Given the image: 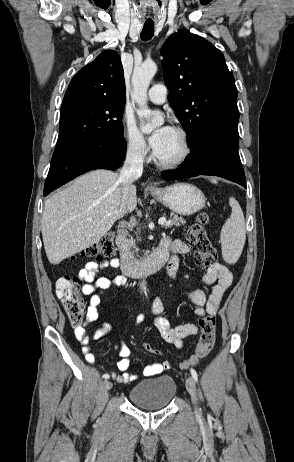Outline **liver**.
I'll return each mask as SVG.
<instances>
[{"label": "liver", "mask_w": 294, "mask_h": 462, "mask_svg": "<svg viewBox=\"0 0 294 462\" xmlns=\"http://www.w3.org/2000/svg\"><path fill=\"white\" fill-rule=\"evenodd\" d=\"M122 191L118 173L94 170L48 198L41 231L49 262L59 264L99 242L116 220L132 212L137 205L136 187L132 185L123 213L120 212Z\"/></svg>", "instance_id": "1"}]
</instances>
